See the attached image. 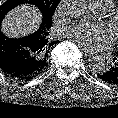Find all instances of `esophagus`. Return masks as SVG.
<instances>
[{"label":"esophagus","instance_id":"1","mask_svg":"<svg viewBox=\"0 0 118 118\" xmlns=\"http://www.w3.org/2000/svg\"><path fill=\"white\" fill-rule=\"evenodd\" d=\"M83 53L88 56V57H93V53H91L90 51L86 50V49H82Z\"/></svg>","mask_w":118,"mask_h":118}]
</instances>
